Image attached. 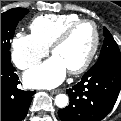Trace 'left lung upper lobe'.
<instances>
[{"mask_svg": "<svg viewBox=\"0 0 121 121\" xmlns=\"http://www.w3.org/2000/svg\"><path fill=\"white\" fill-rule=\"evenodd\" d=\"M105 39L97 63L91 67H99L106 64H121V53L111 33L104 27Z\"/></svg>", "mask_w": 121, "mask_h": 121, "instance_id": "left-lung-upper-lobe-1", "label": "left lung upper lobe"}]
</instances>
